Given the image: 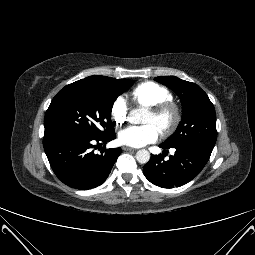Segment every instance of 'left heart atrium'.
<instances>
[{
	"label": "left heart atrium",
	"mask_w": 255,
	"mask_h": 255,
	"mask_svg": "<svg viewBox=\"0 0 255 255\" xmlns=\"http://www.w3.org/2000/svg\"><path fill=\"white\" fill-rule=\"evenodd\" d=\"M161 134V130L153 124L130 126L119 133V141L127 146L142 147L155 142Z\"/></svg>",
	"instance_id": "39dd6f15"
}]
</instances>
